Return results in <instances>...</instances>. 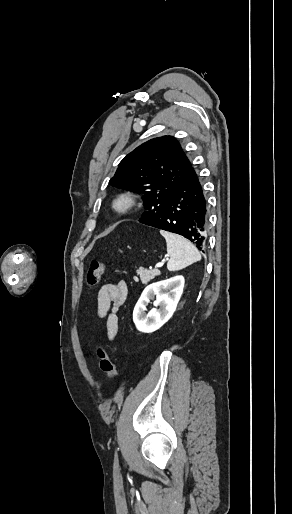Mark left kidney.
I'll list each match as a JSON object with an SVG mask.
<instances>
[{"instance_id":"5707ae66","label":"left kidney","mask_w":292,"mask_h":514,"mask_svg":"<svg viewBox=\"0 0 292 514\" xmlns=\"http://www.w3.org/2000/svg\"><path fill=\"white\" fill-rule=\"evenodd\" d=\"M184 284L183 276H174V278L155 282L145 288L133 310V322L139 332L152 334L170 320L183 294ZM154 296H156V300L153 304L160 306V310L153 308L146 314L147 306L150 304V300H154Z\"/></svg>"}]
</instances>
